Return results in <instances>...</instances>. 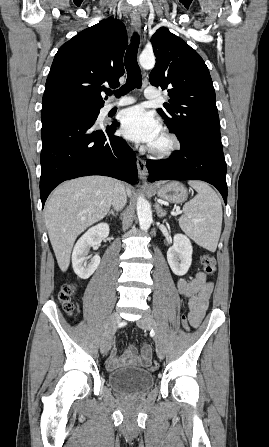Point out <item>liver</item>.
Instances as JSON below:
<instances>
[{
  "mask_svg": "<svg viewBox=\"0 0 269 447\" xmlns=\"http://www.w3.org/2000/svg\"><path fill=\"white\" fill-rule=\"evenodd\" d=\"M115 184V180L104 176L77 178L58 186L47 200L45 224L62 271L69 267L77 235L109 212ZM127 194L131 196L129 186Z\"/></svg>",
  "mask_w": 269,
  "mask_h": 447,
  "instance_id": "obj_1",
  "label": "liver"
}]
</instances>
